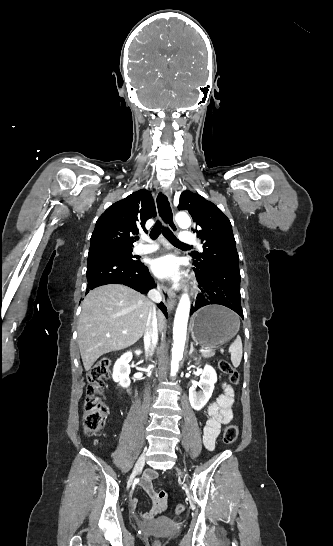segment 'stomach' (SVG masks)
Returning <instances> with one entry per match:
<instances>
[{"label": "stomach", "mask_w": 333, "mask_h": 546, "mask_svg": "<svg viewBox=\"0 0 333 546\" xmlns=\"http://www.w3.org/2000/svg\"><path fill=\"white\" fill-rule=\"evenodd\" d=\"M237 316L220 305H210L200 309L193 317L191 335L203 348H218L238 331Z\"/></svg>", "instance_id": "1"}]
</instances>
